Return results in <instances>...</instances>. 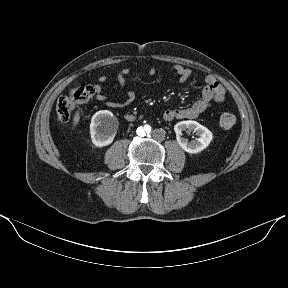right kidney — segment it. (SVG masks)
<instances>
[{"instance_id": "ca27d5eb", "label": "right kidney", "mask_w": 288, "mask_h": 288, "mask_svg": "<svg viewBox=\"0 0 288 288\" xmlns=\"http://www.w3.org/2000/svg\"><path fill=\"white\" fill-rule=\"evenodd\" d=\"M116 120L112 112L101 110L96 112L90 124L92 143L97 147H104L113 142L115 137Z\"/></svg>"}]
</instances>
